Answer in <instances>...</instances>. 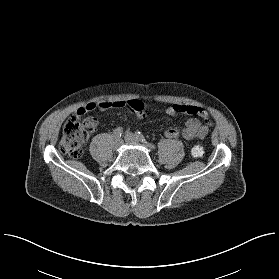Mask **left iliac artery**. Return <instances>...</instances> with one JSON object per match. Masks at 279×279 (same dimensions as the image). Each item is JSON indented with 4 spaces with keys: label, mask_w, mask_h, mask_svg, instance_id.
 Returning a JSON list of instances; mask_svg holds the SVG:
<instances>
[{
    "label": "left iliac artery",
    "mask_w": 279,
    "mask_h": 279,
    "mask_svg": "<svg viewBox=\"0 0 279 279\" xmlns=\"http://www.w3.org/2000/svg\"><path fill=\"white\" fill-rule=\"evenodd\" d=\"M135 135L141 142L146 143V144L148 143L149 147H151L153 149L156 148V146L154 144L149 143V141L144 137V135L141 132L138 131V132H136Z\"/></svg>",
    "instance_id": "1"
}]
</instances>
